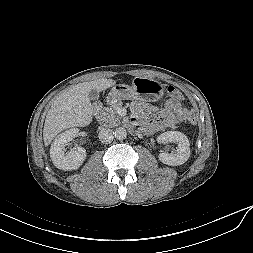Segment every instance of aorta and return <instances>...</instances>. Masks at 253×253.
<instances>
[{
	"label": "aorta",
	"mask_w": 253,
	"mask_h": 253,
	"mask_svg": "<svg viewBox=\"0 0 253 253\" xmlns=\"http://www.w3.org/2000/svg\"><path fill=\"white\" fill-rule=\"evenodd\" d=\"M114 136L115 138H117L118 140H123L127 137V131L125 128L123 127H118L116 128V130L114 131Z\"/></svg>",
	"instance_id": "obj_1"
}]
</instances>
